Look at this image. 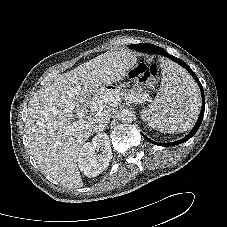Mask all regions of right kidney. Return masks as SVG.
I'll use <instances>...</instances> for the list:
<instances>
[{
  "label": "right kidney",
  "mask_w": 227,
  "mask_h": 227,
  "mask_svg": "<svg viewBox=\"0 0 227 227\" xmlns=\"http://www.w3.org/2000/svg\"><path fill=\"white\" fill-rule=\"evenodd\" d=\"M101 150L100 154H96ZM112 159V150L107 134H98L91 142L86 143L80 150L78 157L79 169L88 177H95L102 173Z\"/></svg>",
  "instance_id": "1"
}]
</instances>
